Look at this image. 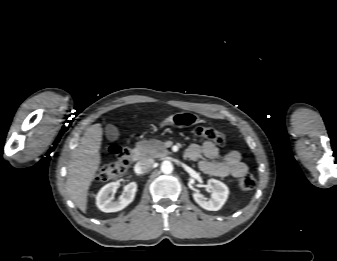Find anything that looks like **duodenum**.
Masks as SVG:
<instances>
[{
	"label": "duodenum",
	"mask_w": 337,
	"mask_h": 261,
	"mask_svg": "<svg viewBox=\"0 0 337 261\" xmlns=\"http://www.w3.org/2000/svg\"><path fill=\"white\" fill-rule=\"evenodd\" d=\"M141 158V153L138 149H134L131 153V159L133 162L139 161Z\"/></svg>",
	"instance_id": "duodenum-1"
}]
</instances>
